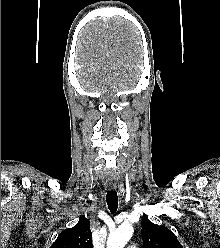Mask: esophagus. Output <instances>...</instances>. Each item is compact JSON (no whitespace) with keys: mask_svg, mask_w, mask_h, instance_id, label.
Instances as JSON below:
<instances>
[{"mask_svg":"<svg viewBox=\"0 0 220 248\" xmlns=\"http://www.w3.org/2000/svg\"><path fill=\"white\" fill-rule=\"evenodd\" d=\"M110 188H111V189H115V188H116V185H115V184H111V185H110Z\"/></svg>","mask_w":220,"mask_h":248,"instance_id":"esophagus-1","label":"esophagus"}]
</instances>
